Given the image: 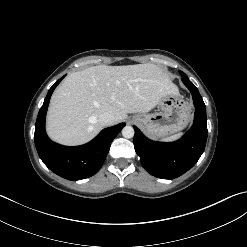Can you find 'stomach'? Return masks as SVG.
<instances>
[{
    "instance_id": "1",
    "label": "stomach",
    "mask_w": 247,
    "mask_h": 247,
    "mask_svg": "<svg viewBox=\"0 0 247 247\" xmlns=\"http://www.w3.org/2000/svg\"><path fill=\"white\" fill-rule=\"evenodd\" d=\"M158 111L143 113L133 117L146 134L153 138H164L183 130L191 119L190 106L178 94L163 96Z\"/></svg>"
}]
</instances>
